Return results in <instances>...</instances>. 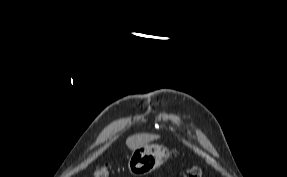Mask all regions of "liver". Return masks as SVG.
<instances>
[{
    "label": "liver",
    "instance_id": "6515ba94",
    "mask_svg": "<svg viewBox=\"0 0 287 177\" xmlns=\"http://www.w3.org/2000/svg\"><path fill=\"white\" fill-rule=\"evenodd\" d=\"M158 138L157 135L152 134H136L126 139V145L129 149L134 150Z\"/></svg>",
    "mask_w": 287,
    "mask_h": 177
}]
</instances>
